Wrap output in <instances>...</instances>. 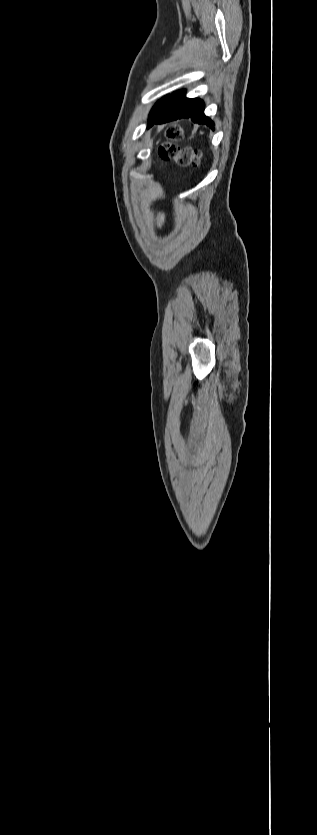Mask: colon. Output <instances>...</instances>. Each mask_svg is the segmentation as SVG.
<instances>
[{
  "instance_id": "colon-1",
  "label": "colon",
  "mask_w": 317,
  "mask_h": 835,
  "mask_svg": "<svg viewBox=\"0 0 317 835\" xmlns=\"http://www.w3.org/2000/svg\"><path fill=\"white\" fill-rule=\"evenodd\" d=\"M183 137L180 127H170L166 132V140L159 148V156L165 161H174L180 166H198L202 154L198 149L180 147L178 142Z\"/></svg>"
}]
</instances>
